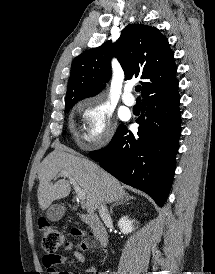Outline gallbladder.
I'll return each mask as SVG.
<instances>
[{
  "mask_svg": "<svg viewBox=\"0 0 215 274\" xmlns=\"http://www.w3.org/2000/svg\"><path fill=\"white\" fill-rule=\"evenodd\" d=\"M66 207L63 203L52 205L46 212V216L51 221H58L65 214Z\"/></svg>",
  "mask_w": 215,
  "mask_h": 274,
  "instance_id": "bac80fb5",
  "label": "gallbladder"
}]
</instances>
